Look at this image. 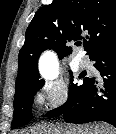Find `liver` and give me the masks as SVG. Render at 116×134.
<instances>
[{"label": "liver", "mask_w": 116, "mask_h": 134, "mask_svg": "<svg viewBox=\"0 0 116 134\" xmlns=\"http://www.w3.org/2000/svg\"><path fill=\"white\" fill-rule=\"evenodd\" d=\"M114 130L105 124L90 127H77L65 124L42 126L31 129L24 134H113Z\"/></svg>", "instance_id": "1"}]
</instances>
